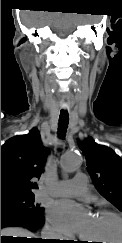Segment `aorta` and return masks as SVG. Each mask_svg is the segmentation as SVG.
<instances>
[{
    "instance_id": "762f6f07",
    "label": "aorta",
    "mask_w": 122,
    "mask_h": 243,
    "mask_svg": "<svg viewBox=\"0 0 122 243\" xmlns=\"http://www.w3.org/2000/svg\"><path fill=\"white\" fill-rule=\"evenodd\" d=\"M81 156L73 151L66 152L61 160V168L65 173H72L79 169Z\"/></svg>"
}]
</instances>
